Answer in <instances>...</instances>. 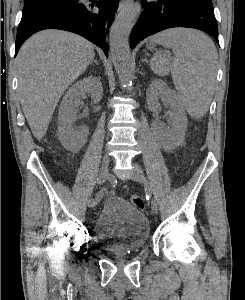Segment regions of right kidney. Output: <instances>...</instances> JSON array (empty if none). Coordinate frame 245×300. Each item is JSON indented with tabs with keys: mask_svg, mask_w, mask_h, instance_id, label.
<instances>
[{
	"mask_svg": "<svg viewBox=\"0 0 245 300\" xmlns=\"http://www.w3.org/2000/svg\"><path fill=\"white\" fill-rule=\"evenodd\" d=\"M91 95L94 103H98L103 95V88L98 77H87L73 84L65 94L59 109L58 136L63 146L70 150L79 151L86 142L89 133L87 126L76 127V109L81 99Z\"/></svg>",
	"mask_w": 245,
	"mask_h": 300,
	"instance_id": "ca27d5eb",
	"label": "right kidney"
}]
</instances>
